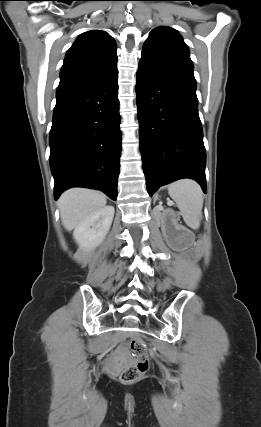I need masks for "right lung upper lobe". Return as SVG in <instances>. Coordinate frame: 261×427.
I'll return each mask as SVG.
<instances>
[{"mask_svg": "<svg viewBox=\"0 0 261 427\" xmlns=\"http://www.w3.org/2000/svg\"><path fill=\"white\" fill-rule=\"evenodd\" d=\"M116 49L115 40L106 32L91 30L81 34L66 54L57 94L117 71Z\"/></svg>", "mask_w": 261, "mask_h": 427, "instance_id": "cb5924a9", "label": "right lung upper lobe"}]
</instances>
